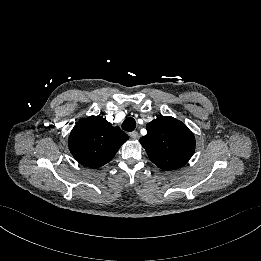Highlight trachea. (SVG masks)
Returning a JSON list of instances; mask_svg holds the SVG:
<instances>
[{
    "label": "trachea",
    "instance_id": "3493384b",
    "mask_svg": "<svg viewBox=\"0 0 261 261\" xmlns=\"http://www.w3.org/2000/svg\"><path fill=\"white\" fill-rule=\"evenodd\" d=\"M136 127V121L132 117H127L122 123V129L128 132H132Z\"/></svg>",
    "mask_w": 261,
    "mask_h": 261
}]
</instances>
